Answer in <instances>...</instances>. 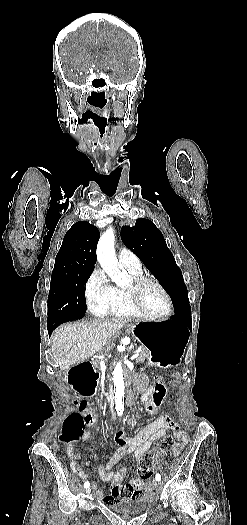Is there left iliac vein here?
I'll list each match as a JSON object with an SVG mask.
<instances>
[{
    "label": "left iliac vein",
    "instance_id": "obj_1",
    "mask_svg": "<svg viewBox=\"0 0 247 525\" xmlns=\"http://www.w3.org/2000/svg\"><path fill=\"white\" fill-rule=\"evenodd\" d=\"M153 485H155V486H157V485H158V483H157V481H156V480H153Z\"/></svg>",
    "mask_w": 247,
    "mask_h": 525
}]
</instances>
